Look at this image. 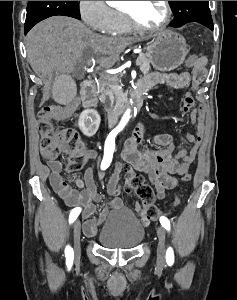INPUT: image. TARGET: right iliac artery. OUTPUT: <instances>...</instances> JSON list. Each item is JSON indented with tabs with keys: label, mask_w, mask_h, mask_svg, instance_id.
Returning <instances> with one entry per match:
<instances>
[{
	"label": "right iliac artery",
	"mask_w": 237,
	"mask_h": 300,
	"mask_svg": "<svg viewBox=\"0 0 237 300\" xmlns=\"http://www.w3.org/2000/svg\"><path fill=\"white\" fill-rule=\"evenodd\" d=\"M118 134L117 130L111 131L105 141V147H104V157L101 163V169L105 170L109 167L111 161H112V157H113V153L115 150V137ZM81 212V208L80 207H76L74 209H72L70 215H69V223H73L76 218L78 217V215ZM73 249L68 245L65 248V256L66 258L71 261L73 263Z\"/></svg>",
	"instance_id": "1"
}]
</instances>
